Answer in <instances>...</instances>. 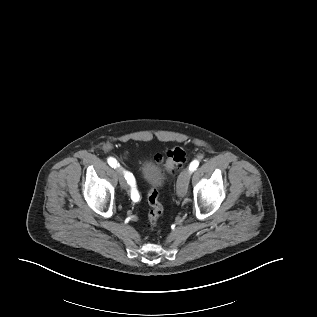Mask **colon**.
Returning a JSON list of instances; mask_svg holds the SVG:
<instances>
[{
    "instance_id": "1",
    "label": "colon",
    "mask_w": 317,
    "mask_h": 317,
    "mask_svg": "<svg viewBox=\"0 0 317 317\" xmlns=\"http://www.w3.org/2000/svg\"><path fill=\"white\" fill-rule=\"evenodd\" d=\"M157 162L168 173H174L181 165L185 163L186 154L183 148L174 147L167 151L165 158L156 156ZM147 199L150 206L147 220V229L152 231L156 228L158 220L163 212V206L159 201L157 190L149 189Z\"/></svg>"
}]
</instances>
